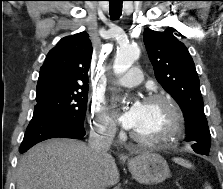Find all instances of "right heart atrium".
Here are the masks:
<instances>
[{
  "mask_svg": "<svg viewBox=\"0 0 223 189\" xmlns=\"http://www.w3.org/2000/svg\"><path fill=\"white\" fill-rule=\"evenodd\" d=\"M88 113L94 132L102 137H112L115 133L116 126L105 106L97 100L92 101Z\"/></svg>",
  "mask_w": 223,
  "mask_h": 189,
  "instance_id": "right-heart-atrium-1",
  "label": "right heart atrium"
}]
</instances>
